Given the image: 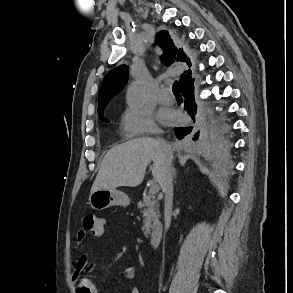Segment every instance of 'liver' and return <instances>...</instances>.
<instances>
[{"mask_svg": "<svg viewBox=\"0 0 293 293\" xmlns=\"http://www.w3.org/2000/svg\"><path fill=\"white\" fill-rule=\"evenodd\" d=\"M170 154L173 157L172 149ZM167 158L168 154L159 141L153 138L134 139L115 146L103 158L91 193L140 185L150 162H153V177L160 184L165 174Z\"/></svg>", "mask_w": 293, "mask_h": 293, "instance_id": "1", "label": "liver"}]
</instances>
